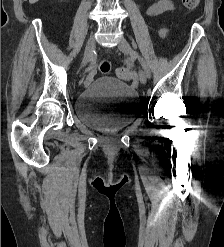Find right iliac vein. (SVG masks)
Returning a JSON list of instances; mask_svg holds the SVG:
<instances>
[{
    "instance_id": "1",
    "label": "right iliac vein",
    "mask_w": 224,
    "mask_h": 247,
    "mask_svg": "<svg viewBox=\"0 0 224 247\" xmlns=\"http://www.w3.org/2000/svg\"><path fill=\"white\" fill-rule=\"evenodd\" d=\"M94 48H95V40H94V37L91 36L89 40L87 41V44L85 47V52H84V57L81 63V67L86 66V64L92 60Z\"/></svg>"
}]
</instances>
